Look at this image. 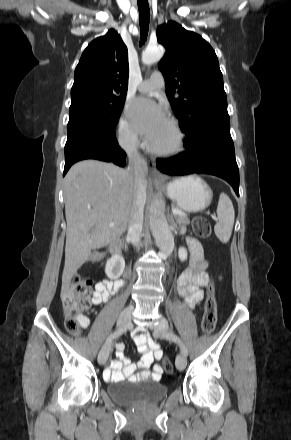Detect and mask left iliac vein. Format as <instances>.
Returning <instances> with one entry per match:
<instances>
[{
  "mask_svg": "<svg viewBox=\"0 0 291 440\" xmlns=\"http://www.w3.org/2000/svg\"><path fill=\"white\" fill-rule=\"evenodd\" d=\"M169 330L168 322L165 318H160L159 323L154 328V333L161 338H166V333ZM187 359L184 354H179L176 358V368L183 371L186 367Z\"/></svg>",
  "mask_w": 291,
  "mask_h": 440,
  "instance_id": "left-iliac-vein-1",
  "label": "left iliac vein"
}]
</instances>
